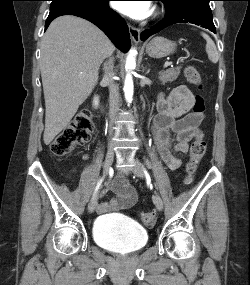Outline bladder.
<instances>
[{
    "label": "bladder",
    "mask_w": 250,
    "mask_h": 285,
    "mask_svg": "<svg viewBox=\"0 0 250 285\" xmlns=\"http://www.w3.org/2000/svg\"><path fill=\"white\" fill-rule=\"evenodd\" d=\"M92 236L100 247L123 255L141 250L148 242V233L143 227L131 222L117 221L111 216L96 219Z\"/></svg>",
    "instance_id": "1"
}]
</instances>
